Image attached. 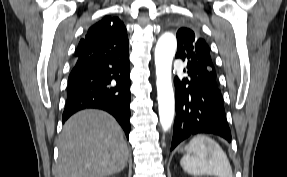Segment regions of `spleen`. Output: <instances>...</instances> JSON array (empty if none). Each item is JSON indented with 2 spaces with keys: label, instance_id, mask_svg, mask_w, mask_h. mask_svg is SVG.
<instances>
[{
  "label": "spleen",
  "instance_id": "3e777b00",
  "mask_svg": "<svg viewBox=\"0 0 287 177\" xmlns=\"http://www.w3.org/2000/svg\"><path fill=\"white\" fill-rule=\"evenodd\" d=\"M186 154L180 164L193 176L233 177L226 153L215 140L208 136H195L185 147Z\"/></svg>",
  "mask_w": 287,
  "mask_h": 177
}]
</instances>
